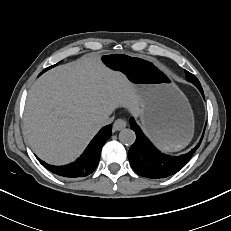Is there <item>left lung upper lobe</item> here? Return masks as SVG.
Instances as JSON below:
<instances>
[{
    "mask_svg": "<svg viewBox=\"0 0 231 231\" xmlns=\"http://www.w3.org/2000/svg\"><path fill=\"white\" fill-rule=\"evenodd\" d=\"M186 72V78L189 82L193 83L198 89L201 88V84L199 82V80L196 78V76H194L193 74H191L188 71Z\"/></svg>",
    "mask_w": 231,
    "mask_h": 231,
    "instance_id": "5c2ea615",
    "label": "left lung upper lobe"
}]
</instances>
